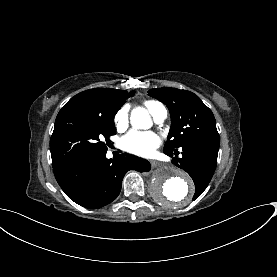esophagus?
Returning a JSON list of instances; mask_svg holds the SVG:
<instances>
[{
    "mask_svg": "<svg viewBox=\"0 0 277 277\" xmlns=\"http://www.w3.org/2000/svg\"><path fill=\"white\" fill-rule=\"evenodd\" d=\"M150 163H151V167L152 168H154V167H156L158 165V162L155 161V160H151Z\"/></svg>",
    "mask_w": 277,
    "mask_h": 277,
    "instance_id": "1",
    "label": "esophagus"
}]
</instances>
